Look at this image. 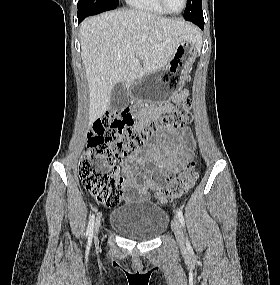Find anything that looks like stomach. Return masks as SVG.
I'll use <instances>...</instances> for the list:
<instances>
[{
    "instance_id": "obj_1",
    "label": "stomach",
    "mask_w": 280,
    "mask_h": 285,
    "mask_svg": "<svg viewBox=\"0 0 280 285\" xmlns=\"http://www.w3.org/2000/svg\"><path fill=\"white\" fill-rule=\"evenodd\" d=\"M196 56V44L189 40L182 41L161 71L147 74L131 84L132 97L136 100L148 98L158 105L168 103L183 88Z\"/></svg>"
}]
</instances>
